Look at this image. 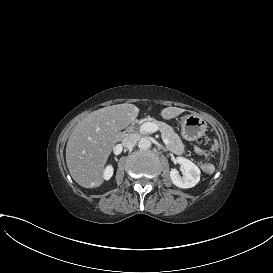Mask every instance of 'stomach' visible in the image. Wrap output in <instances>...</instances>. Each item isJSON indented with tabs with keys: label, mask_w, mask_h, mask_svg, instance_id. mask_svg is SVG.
Instances as JSON below:
<instances>
[{
	"label": "stomach",
	"mask_w": 273,
	"mask_h": 273,
	"mask_svg": "<svg viewBox=\"0 0 273 273\" xmlns=\"http://www.w3.org/2000/svg\"><path fill=\"white\" fill-rule=\"evenodd\" d=\"M181 135L185 140L194 141L202 137L207 129V122L200 116L189 114L182 117Z\"/></svg>",
	"instance_id": "0dacf381"
}]
</instances>
